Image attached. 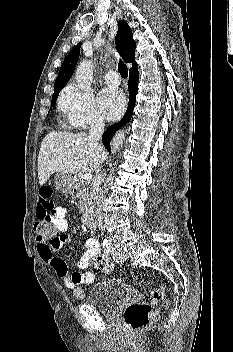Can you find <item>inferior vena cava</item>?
<instances>
[{
    "label": "inferior vena cava",
    "instance_id": "602c4592",
    "mask_svg": "<svg viewBox=\"0 0 233 352\" xmlns=\"http://www.w3.org/2000/svg\"><path fill=\"white\" fill-rule=\"evenodd\" d=\"M104 120L102 117L98 115H94L91 121L90 130H89V140L92 142L99 143L101 140L103 131H104ZM103 163V161H102ZM101 163V164H102ZM101 168L100 166L97 168L96 177L93 185V204L95 208V218L99 224V227L102 229L103 226V210L101 206Z\"/></svg>",
    "mask_w": 233,
    "mask_h": 352
}]
</instances>
